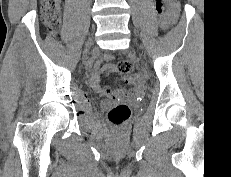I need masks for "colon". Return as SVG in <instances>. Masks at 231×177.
<instances>
[{
	"label": "colon",
	"mask_w": 231,
	"mask_h": 177,
	"mask_svg": "<svg viewBox=\"0 0 231 177\" xmlns=\"http://www.w3.org/2000/svg\"><path fill=\"white\" fill-rule=\"evenodd\" d=\"M163 3L173 5V0H158L156 9L161 18L167 16ZM44 24L49 33L54 34L61 23L60 5L61 0H41ZM132 63L128 60H121L117 65V71L121 74L128 75L132 72ZM130 108L124 103L113 106L108 112V119L114 126H121L128 120Z\"/></svg>",
	"instance_id": "1"
}]
</instances>
